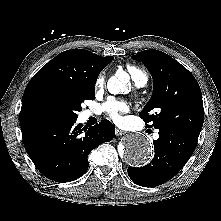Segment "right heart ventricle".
<instances>
[{"instance_id": "obj_1", "label": "right heart ventricle", "mask_w": 221, "mask_h": 221, "mask_svg": "<svg viewBox=\"0 0 221 221\" xmlns=\"http://www.w3.org/2000/svg\"><path fill=\"white\" fill-rule=\"evenodd\" d=\"M126 68L136 85H139L142 81L148 80L147 74L140 67L129 64Z\"/></svg>"}]
</instances>
